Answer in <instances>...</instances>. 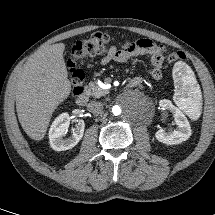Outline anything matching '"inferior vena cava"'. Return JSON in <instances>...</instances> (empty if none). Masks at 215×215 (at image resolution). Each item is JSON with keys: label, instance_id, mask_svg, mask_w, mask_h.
<instances>
[{"label": "inferior vena cava", "instance_id": "inferior-vena-cava-1", "mask_svg": "<svg viewBox=\"0 0 215 215\" xmlns=\"http://www.w3.org/2000/svg\"><path fill=\"white\" fill-rule=\"evenodd\" d=\"M87 110L95 115H99L103 110V103L98 101H91L87 105Z\"/></svg>", "mask_w": 215, "mask_h": 215}]
</instances>
